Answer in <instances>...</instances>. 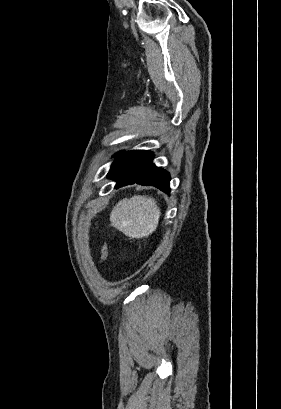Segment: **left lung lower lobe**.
<instances>
[{"label": "left lung lower lobe", "mask_w": 281, "mask_h": 409, "mask_svg": "<svg viewBox=\"0 0 281 409\" xmlns=\"http://www.w3.org/2000/svg\"><path fill=\"white\" fill-rule=\"evenodd\" d=\"M152 159L153 154L149 151L136 150L124 153L114 160L107 177L117 182L115 188L138 183L169 192V173L156 167Z\"/></svg>", "instance_id": "0a47b994"}]
</instances>
